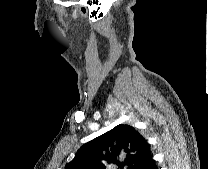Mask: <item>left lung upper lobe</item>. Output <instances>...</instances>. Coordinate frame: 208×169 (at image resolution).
Masks as SVG:
<instances>
[{"label": "left lung upper lobe", "mask_w": 208, "mask_h": 169, "mask_svg": "<svg viewBox=\"0 0 208 169\" xmlns=\"http://www.w3.org/2000/svg\"><path fill=\"white\" fill-rule=\"evenodd\" d=\"M150 146L132 126L119 124L103 135L84 144L66 169H140Z\"/></svg>", "instance_id": "left-lung-upper-lobe-1"}]
</instances>
